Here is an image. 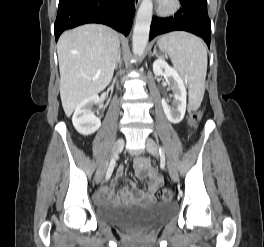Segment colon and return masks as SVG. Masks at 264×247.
<instances>
[{"mask_svg":"<svg viewBox=\"0 0 264 247\" xmlns=\"http://www.w3.org/2000/svg\"><path fill=\"white\" fill-rule=\"evenodd\" d=\"M201 117H202V111L201 110H195L192 113L190 123L193 126H196L199 123ZM157 196H158V199L161 201H170V200L174 199L175 191L170 189V188H165V189H162L161 191H159Z\"/></svg>","mask_w":264,"mask_h":247,"instance_id":"obj_1","label":"colon"}]
</instances>
